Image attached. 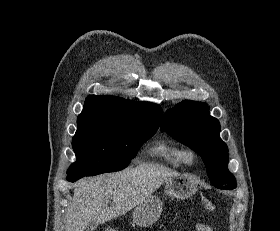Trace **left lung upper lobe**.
Listing matches in <instances>:
<instances>
[{
    "label": "left lung upper lobe",
    "instance_id": "obj_1",
    "mask_svg": "<svg viewBox=\"0 0 280 231\" xmlns=\"http://www.w3.org/2000/svg\"><path fill=\"white\" fill-rule=\"evenodd\" d=\"M161 131L199 154L213 185L237 186L228 170V147L220 138V123L210 116L206 103L185 100L164 115Z\"/></svg>",
    "mask_w": 280,
    "mask_h": 231
}]
</instances>
